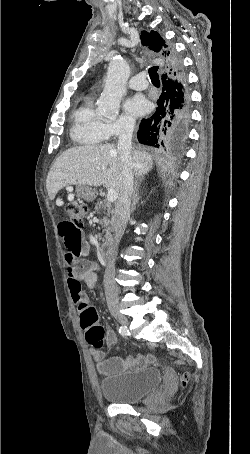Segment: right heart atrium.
<instances>
[{"label": "right heart atrium", "instance_id": "1", "mask_svg": "<svg viewBox=\"0 0 250 454\" xmlns=\"http://www.w3.org/2000/svg\"><path fill=\"white\" fill-rule=\"evenodd\" d=\"M133 128L134 121L127 116H121L115 121L106 123V129L109 137H119L128 133Z\"/></svg>", "mask_w": 250, "mask_h": 454}]
</instances>
